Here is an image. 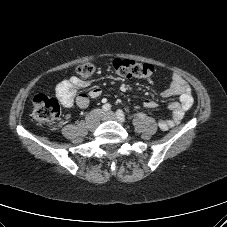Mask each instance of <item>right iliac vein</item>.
Returning a JSON list of instances; mask_svg holds the SVG:
<instances>
[{"label": "right iliac vein", "instance_id": "obj_1", "mask_svg": "<svg viewBox=\"0 0 227 227\" xmlns=\"http://www.w3.org/2000/svg\"><path fill=\"white\" fill-rule=\"evenodd\" d=\"M104 112L100 109L93 110L87 116L86 123L90 129H95L99 123V119H102Z\"/></svg>", "mask_w": 227, "mask_h": 227}]
</instances>
